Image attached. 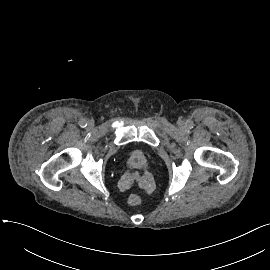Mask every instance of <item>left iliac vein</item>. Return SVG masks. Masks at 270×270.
Masks as SVG:
<instances>
[{
	"label": "left iliac vein",
	"mask_w": 270,
	"mask_h": 270,
	"mask_svg": "<svg viewBox=\"0 0 270 270\" xmlns=\"http://www.w3.org/2000/svg\"><path fill=\"white\" fill-rule=\"evenodd\" d=\"M180 126H181V127H183V126H184V124H183V123H180Z\"/></svg>",
	"instance_id": "1"
}]
</instances>
